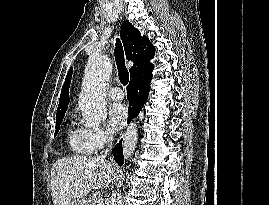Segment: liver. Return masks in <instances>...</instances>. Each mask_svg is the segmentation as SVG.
<instances>
[{"mask_svg": "<svg viewBox=\"0 0 269 205\" xmlns=\"http://www.w3.org/2000/svg\"><path fill=\"white\" fill-rule=\"evenodd\" d=\"M112 163L92 156H73L56 160L51 169L54 205H74L92 189L107 187L114 177Z\"/></svg>", "mask_w": 269, "mask_h": 205, "instance_id": "liver-1", "label": "liver"}]
</instances>
